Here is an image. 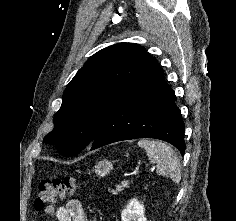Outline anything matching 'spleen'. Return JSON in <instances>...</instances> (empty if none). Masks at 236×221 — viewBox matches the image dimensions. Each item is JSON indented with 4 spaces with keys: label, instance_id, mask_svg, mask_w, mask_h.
Returning <instances> with one entry per match:
<instances>
[{
    "label": "spleen",
    "instance_id": "spleen-1",
    "mask_svg": "<svg viewBox=\"0 0 236 221\" xmlns=\"http://www.w3.org/2000/svg\"><path fill=\"white\" fill-rule=\"evenodd\" d=\"M138 145L146 150L148 159L156 163L157 174L171 178L175 183L181 180V164L174 150L166 143L141 139Z\"/></svg>",
    "mask_w": 236,
    "mask_h": 221
}]
</instances>
